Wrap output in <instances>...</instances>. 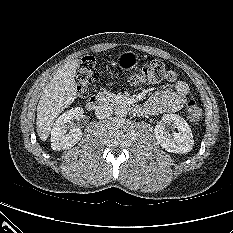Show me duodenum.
Returning <instances> with one entry per match:
<instances>
[{
    "mask_svg": "<svg viewBox=\"0 0 233 233\" xmlns=\"http://www.w3.org/2000/svg\"><path fill=\"white\" fill-rule=\"evenodd\" d=\"M118 102L119 104L128 107L129 109H131L133 112L137 114L144 113V109L142 106L137 105L136 103H134L133 101L129 99L122 98V99H119ZM100 105H101V99L98 96L93 95L88 99L86 106L88 110L94 111V110H97L100 107Z\"/></svg>",
    "mask_w": 233,
    "mask_h": 233,
    "instance_id": "duodenum-1",
    "label": "duodenum"
}]
</instances>
